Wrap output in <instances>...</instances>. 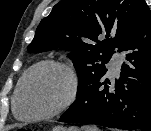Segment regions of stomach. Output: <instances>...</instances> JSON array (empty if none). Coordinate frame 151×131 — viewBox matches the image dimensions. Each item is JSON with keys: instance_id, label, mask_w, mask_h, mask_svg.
<instances>
[{"instance_id": "obj_1", "label": "stomach", "mask_w": 151, "mask_h": 131, "mask_svg": "<svg viewBox=\"0 0 151 131\" xmlns=\"http://www.w3.org/2000/svg\"><path fill=\"white\" fill-rule=\"evenodd\" d=\"M53 131H80L76 127L65 128L63 126H56L53 128Z\"/></svg>"}]
</instances>
